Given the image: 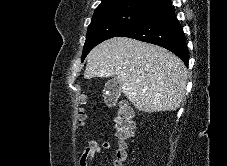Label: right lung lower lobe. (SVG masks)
Here are the masks:
<instances>
[{
  "label": "right lung lower lobe",
  "mask_w": 227,
  "mask_h": 166,
  "mask_svg": "<svg viewBox=\"0 0 227 166\" xmlns=\"http://www.w3.org/2000/svg\"><path fill=\"white\" fill-rule=\"evenodd\" d=\"M117 37L133 38L161 46L173 52L185 65H188L189 51L185 35L171 7L170 0Z\"/></svg>",
  "instance_id": "obj_1"
}]
</instances>
